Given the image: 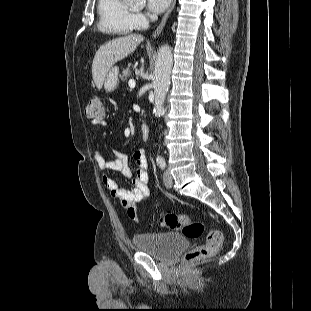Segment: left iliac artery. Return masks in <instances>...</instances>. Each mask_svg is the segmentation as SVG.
I'll return each instance as SVG.
<instances>
[{"label": "left iliac artery", "instance_id": "44dca946", "mask_svg": "<svg viewBox=\"0 0 311 311\" xmlns=\"http://www.w3.org/2000/svg\"><path fill=\"white\" fill-rule=\"evenodd\" d=\"M156 162H157V164L159 165V167H160L161 169H164V168L166 167V162H165L164 158L158 157V158L156 159Z\"/></svg>", "mask_w": 311, "mask_h": 311}]
</instances>
